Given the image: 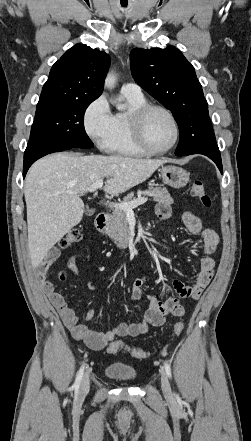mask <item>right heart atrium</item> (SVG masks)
Returning <instances> with one entry per match:
<instances>
[{"label": "right heart atrium", "instance_id": "d8ad5b80", "mask_svg": "<svg viewBox=\"0 0 251 441\" xmlns=\"http://www.w3.org/2000/svg\"><path fill=\"white\" fill-rule=\"evenodd\" d=\"M83 125L86 134L96 146L106 150L113 131V115L103 95L87 106L83 115Z\"/></svg>", "mask_w": 251, "mask_h": 441}]
</instances>
